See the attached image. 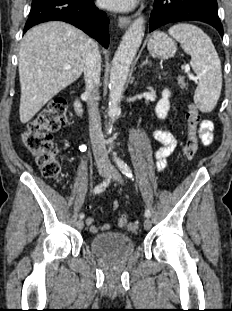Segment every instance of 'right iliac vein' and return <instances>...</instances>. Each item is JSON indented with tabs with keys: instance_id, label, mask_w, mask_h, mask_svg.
Here are the masks:
<instances>
[{
	"instance_id": "right-iliac-vein-1",
	"label": "right iliac vein",
	"mask_w": 232,
	"mask_h": 311,
	"mask_svg": "<svg viewBox=\"0 0 232 311\" xmlns=\"http://www.w3.org/2000/svg\"><path fill=\"white\" fill-rule=\"evenodd\" d=\"M108 168H106V167H104V168H100L99 169V175L100 176H106L107 174H108ZM77 226H78V229H83V226H84V222H83V220H79L78 222H77Z\"/></svg>"
}]
</instances>
